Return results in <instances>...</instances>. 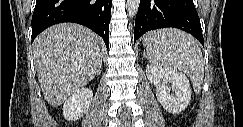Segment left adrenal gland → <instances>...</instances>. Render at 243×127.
Listing matches in <instances>:
<instances>
[{
  "instance_id": "a2214340",
  "label": "left adrenal gland",
  "mask_w": 243,
  "mask_h": 127,
  "mask_svg": "<svg viewBox=\"0 0 243 127\" xmlns=\"http://www.w3.org/2000/svg\"><path fill=\"white\" fill-rule=\"evenodd\" d=\"M143 56L146 57V53L145 52H144Z\"/></svg>"
}]
</instances>
